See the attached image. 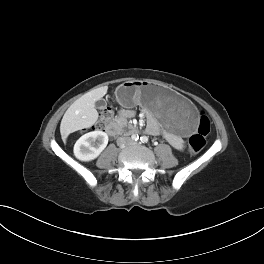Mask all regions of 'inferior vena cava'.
<instances>
[{
    "instance_id": "inferior-vena-cava-1",
    "label": "inferior vena cava",
    "mask_w": 264,
    "mask_h": 264,
    "mask_svg": "<svg viewBox=\"0 0 264 264\" xmlns=\"http://www.w3.org/2000/svg\"><path fill=\"white\" fill-rule=\"evenodd\" d=\"M128 138L127 137H120L118 139V143L121 144L124 140H127Z\"/></svg>"
}]
</instances>
